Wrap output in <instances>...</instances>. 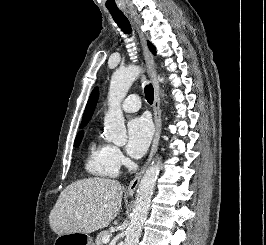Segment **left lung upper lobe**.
<instances>
[{
  "instance_id": "left-lung-upper-lobe-1",
  "label": "left lung upper lobe",
  "mask_w": 266,
  "mask_h": 245,
  "mask_svg": "<svg viewBox=\"0 0 266 245\" xmlns=\"http://www.w3.org/2000/svg\"><path fill=\"white\" fill-rule=\"evenodd\" d=\"M148 46H149V49L155 54L156 51H155L154 46L150 42H148Z\"/></svg>"
}]
</instances>
